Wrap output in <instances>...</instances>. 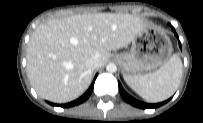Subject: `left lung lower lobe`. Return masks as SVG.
Masks as SVG:
<instances>
[{"label": "left lung lower lobe", "mask_w": 203, "mask_h": 123, "mask_svg": "<svg viewBox=\"0 0 203 123\" xmlns=\"http://www.w3.org/2000/svg\"><path fill=\"white\" fill-rule=\"evenodd\" d=\"M172 29H173V31H174V34H175L176 37L178 38V36H177V34H176L174 28H172ZM179 46H180V48H181V43H180V41H179ZM119 90H120V94H121L122 98H123L126 102L130 103L131 105H133V106H135V107H139V108H143V109H146V108H157V107H159V106L165 104V103L168 101V100H167V101H164V102H162V103H157V104L143 103V102H140V101L134 99V98L131 97L130 95H128V94L125 92V90L123 89V87L121 86L120 83H119Z\"/></svg>", "instance_id": "0a47b994"}]
</instances>
